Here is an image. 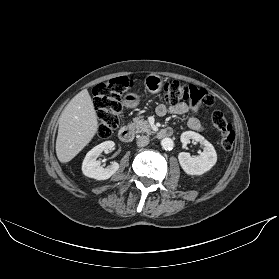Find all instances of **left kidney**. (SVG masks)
<instances>
[{
  "label": "left kidney",
  "instance_id": "left-kidney-1",
  "mask_svg": "<svg viewBox=\"0 0 279 279\" xmlns=\"http://www.w3.org/2000/svg\"><path fill=\"white\" fill-rule=\"evenodd\" d=\"M190 140L199 142L204 146V151L198 156H191L187 152H181L178 155L179 163L182 169L189 175H201L209 171L217 161V154L213 145L202 135L193 131H185L181 134L183 145L190 143Z\"/></svg>",
  "mask_w": 279,
  "mask_h": 279
}]
</instances>
